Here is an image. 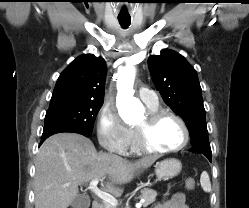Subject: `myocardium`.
<instances>
[{
  "label": "myocardium",
  "instance_id": "obj_1",
  "mask_svg": "<svg viewBox=\"0 0 249 208\" xmlns=\"http://www.w3.org/2000/svg\"><path fill=\"white\" fill-rule=\"evenodd\" d=\"M164 118H172L176 120L183 130V141L175 148L157 149L152 147L148 142V133ZM134 133L136 146L139 152L147 154H169L179 152L187 146L190 140V131L186 122L179 115L168 110L148 111L144 124L137 126Z\"/></svg>",
  "mask_w": 249,
  "mask_h": 208
}]
</instances>
